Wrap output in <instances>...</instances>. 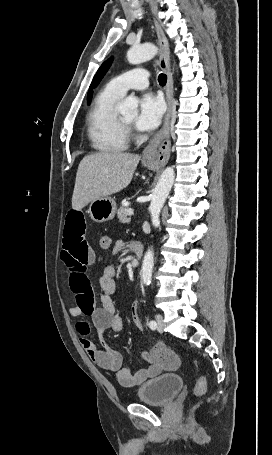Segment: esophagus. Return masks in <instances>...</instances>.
Returning a JSON list of instances; mask_svg holds the SVG:
<instances>
[{"instance_id": "obj_1", "label": "esophagus", "mask_w": 272, "mask_h": 455, "mask_svg": "<svg viewBox=\"0 0 272 455\" xmlns=\"http://www.w3.org/2000/svg\"><path fill=\"white\" fill-rule=\"evenodd\" d=\"M155 22V28L158 36V43L160 46V68L167 74L166 84V100H167V112L164 120V124L160 131L151 139L147 147L143 151V160L151 162L157 167L164 166L170 157L171 143L169 140L170 134V118L172 110V99H173V78L170 69L169 62V45L164 31L160 24Z\"/></svg>"}]
</instances>
